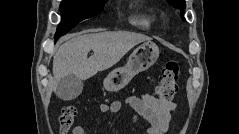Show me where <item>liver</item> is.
<instances>
[{
  "label": "liver",
  "mask_w": 239,
  "mask_h": 134,
  "mask_svg": "<svg viewBox=\"0 0 239 134\" xmlns=\"http://www.w3.org/2000/svg\"><path fill=\"white\" fill-rule=\"evenodd\" d=\"M150 40L146 35L126 31L84 34L68 40L53 58L54 91L61 78L75 75L89 79L115 65L134 46ZM91 50L94 54L88 58Z\"/></svg>",
  "instance_id": "1"
}]
</instances>
